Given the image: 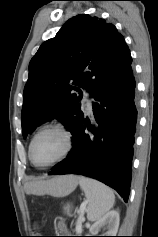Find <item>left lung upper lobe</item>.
Segmentation results:
<instances>
[{"instance_id": "1", "label": "left lung upper lobe", "mask_w": 158, "mask_h": 237, "mask_svg": "<svg viewBox=\"0 0 158 237\" xmlns=\"http://www.w3.org/2000/svg\"><path fill=\"white\" fill-rule=\"evenodd\" d=\"M131 62L129 48L113 24L87 14L68 20L30 61L21 113L23 137L53 118L73 134L84 117L82 97L74 91L83 88L93 97Z\"/></svg>"}]
</instances>
